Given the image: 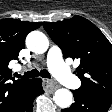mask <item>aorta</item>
<instances>
[{
    "mask_svg": "<svg viewBox=\"0 0 112 112\" xmlns=\"http://www.w3.org/2000/svg\"><path fill=\"white\" fill-rule=\"evenodd\" d=\"M27 47L37 54H42L47 51L49 46L48 38L45 34L39 31H32L28 34L26 38ZM73 95L71 91L65 88L58 89L53 100L55 104L61 108H68L72 104Z\"/></svg>",
    "mask_w": 112,
    "mask_h": 112,
    "instance_id": "762f6f07",
    "label": "aorta"
}]
</instances>
